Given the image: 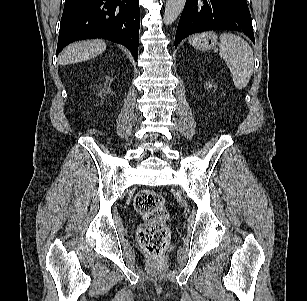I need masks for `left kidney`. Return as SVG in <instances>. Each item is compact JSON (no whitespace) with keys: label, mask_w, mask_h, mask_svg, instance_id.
<instances>
[{"label":"left kidney","mask_w":307,"mask_h":301,"mask_svg":"<svg viewBox=\"0 0 307 301\" xmlns=\"http://www.w3.org/2000/svg\"><path fill=\"white\" fill-rule=\"evenodd\" d=\"M207 87H208V88H212L213 85L209 83V84H207Z\"/></svg>","instance_id":"1"}]
</instances>
